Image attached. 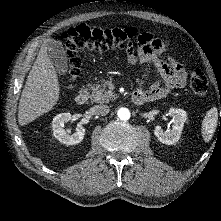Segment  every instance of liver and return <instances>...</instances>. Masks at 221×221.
<instances>
[{"mask_svg":"<svg viewBox=\"0 0 221 221\" xmlns=\"http://www.w3.org/2000/svg\"><path fill=\"white\" fill-rule=\"evenodd\" d=\"M46 44L41 46L22 91L18 106V122L21 126L49 112L59 99L58 76Z\"/></svg>","mask_w":221,"mask_h":221,"instance_id":"1","label":"liver"}]
</instances>
